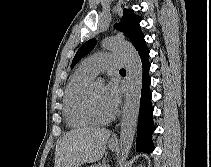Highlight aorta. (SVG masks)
Returning <instances> with one entry per match:
<instances>
[{"mask_svg": "<svg viewBox=\"0 0 211 167\" xmlns=\"http://www.w3.org/2000/svg\"><path fill=\"white\" fill-rule=\"evenodd\" d=\"M102 46L106 50L119 53L126 66L128 87L120 132V163H124L133 144L138 120L142 88V63L133 45L123 39L107 37L102 41Z\"/></svg>", "mask_w": 211, "mask_h": 167, "instance_id": "aorta-1", "label": "aorta"}]
</instances>
